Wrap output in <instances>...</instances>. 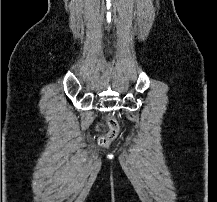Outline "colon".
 Instances as JSON below:
<instances>
[{
  "label": "colon",
  "instance_id": "colon-1",
  "mask_svg": "<svg viewBox=\"0 0 217 202\" xmlns=\"http://www.w3.org/2000/svg\"><path fill=\"white\" fill-rule=\"evenodd\" d=\"M107 123L109 124V127L112 128L111 133H107L106 137H97L96 141L99 142V144L107 145L108 142H111V138H116L117 134L120 133V125L117 124L116 120H113L111 116H108L106 118Z\"/></svg>",
  "mask_w": 217,
  "mask_h": 202
}]
</instances>
